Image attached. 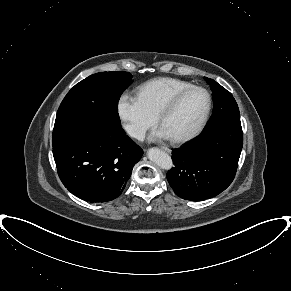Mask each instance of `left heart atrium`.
Here are the masks:
<instances>
[{
	"mask_svg": "<svg viewBox=\"0 0 291 291\" xmlns=\"http://www.w3.org/2000/svg\"><path fill=\"white\" fill-rule=\"evenodd\" d=\"M156 137L161 139H169L168 135L162 129L156 132Z\"/></svg>",
	"mask_w": 291,
	"mask_h": 291,
	"instance_id": "39dd6f15",
	"label": "left heart atrium"
}]
</instances>
